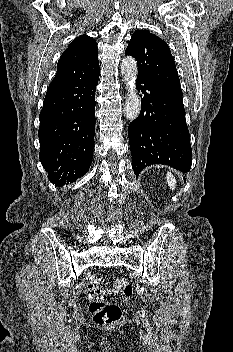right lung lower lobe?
I'll use <instances>...</instances> for the list:
<instances>
[{"label":"right lung lower lobe","mask_w":233,"mask_h":352,"mask_svg":"<svg viewBox=\"0 0 233 352\" xmlns=\"http://www.w3.org/2000/svg\"><path fill=\"white\" fill-rule=\"evenodd\" d=\"M99 73L47 90L39 115V158L56 186L75 182L90 168Z\"/></svg>","instance_id":"right-lung-lower-lobe-1"}]
</instances>
